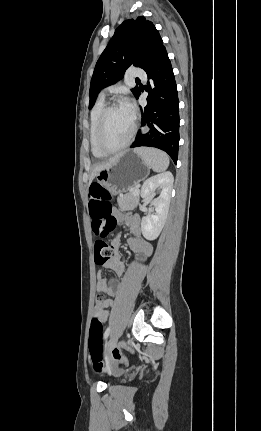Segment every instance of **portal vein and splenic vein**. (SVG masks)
Instances as JSON below:
<instances>
[{
    "mask_svg": "<svg viewBox=\"0 0 261 431\" xmlns=\"http://www.w3.org/2000/svg\"><path fill=\"white\" fill-rule=\"evenodd\" d=\"M133 194H139V188H135V189L133 190Z\"/></svg>",
    "mask_w": 261,
    "mask_h": 431,
    "instance_id": "1",
    "label": "portal vein and splenic vein"
}]
</instances>
